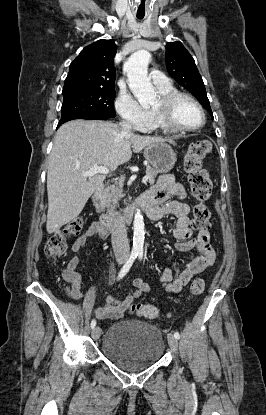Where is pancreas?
<instances>
[{"mask_svg":"<svg viewBox=\"0 0 266 415\" xmlns=\"http://www.w3.org/2000/svg\"><path fill=\"white\" fill-rule=\"evenodd\" d=\"M146 175L149 176L148 183L153 185L157 176V171L150 165L146 166ZM123 179L115 180L114 184L108 185L99 196V202L96 208L99 212L106 211L107 213H114L118 206L122 195Z\"/></svg>","mask_w":266,"mask_h":415,"instance_id":"cf45deb5","label":"pancreas"}]
</instances>
